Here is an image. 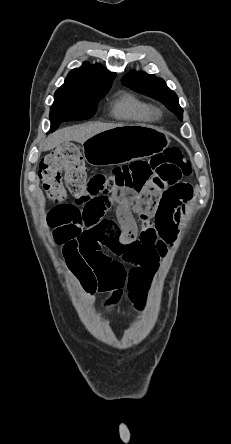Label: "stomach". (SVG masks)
Instances as JSON below:
<instances>
[{
	"label": "stomach",
	"instance_id": "1",
	"mask_svg": "<svg viewBox=\"0 0 231 444\" xmlns=\"http://www.w3.org/2000/svg\"><path fill=\"white\" fill-rule=\"evenodd\" d=\"M167 134L154 126L135 124L100 132L83 143V159L91 165L123 164L161 153Z\"/></svg>",
	"mask_w": 231,
	"mask_h": 444
}]
</instances>
